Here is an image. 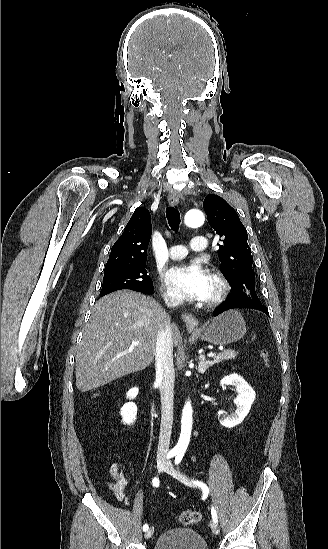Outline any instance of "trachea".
<instances>
[{
	"instance_id": "3493384b",
	"label": "trachea",
	"mask_w": 328,
	"mask_h": 549,
	"mask_svg": "<svg viewBox=\"0 0 328 549\" xmlns=\"http://www.w3.org/2000/svg\"><path fill=\"white\" fill-rule=\"evenodd\" d=\"M166 217H167L170 228L174 232H178L180 221H181L179 211L175 207H172V206L167 207Z\"/></svg>"
}]
</instances>
